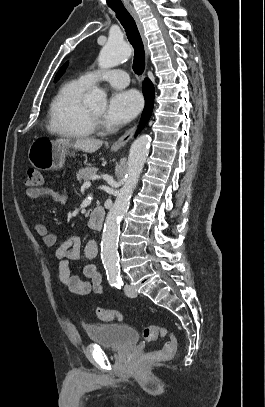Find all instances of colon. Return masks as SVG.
Wrapping results in <instances>:
<instances>
[{"label":"colon","instance_id":"1","mask_svg":"<svg viewBox=\"0 0 265 407\" xmlns=\"http://www.w3.org/2000/svg\"><path fill=\"white\" fill-rule=\"evenodd\" d=\"M26 186L29 188H38L43 184L42 173L35 168H29L26 175ZM97 317L103 321H121L124 318L123 313L112 310L98 308L96 310ZM143 338L148 341H155L157 339H164L162 347L156 351L144 354L141 357L142 363L153 361H164L173 357L177 351V339L175 335L159 324L148 325L143 328Z\"/></svg>","mask_w":265,"mask_h":407}]
</instances>
